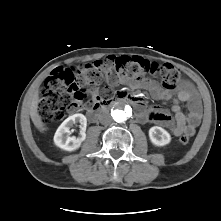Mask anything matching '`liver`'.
<instances>
[{"label":"liver","mask_w":221,"mask_h":221,"mask_svg":"<svg viewBox=\"0 0 221 221\" xmlns=\"http://www.w3.org/2000/svg\"><path fill=\"white\" fill-rule=\"evenodd\" d=\"M38 103H39L38 93L35 92L30 106V116L35 127L40 131H44L46 130V128L44 126V123L42 122L41 116L38 113Z\"/></svg>","instance_id":"1"}]
</instances>
